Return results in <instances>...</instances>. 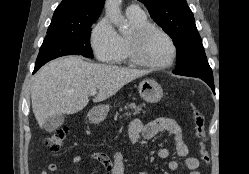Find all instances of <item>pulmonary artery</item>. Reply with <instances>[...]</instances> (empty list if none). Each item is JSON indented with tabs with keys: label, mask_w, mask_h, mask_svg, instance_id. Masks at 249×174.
Returning <instances> with one entry per match:
<instances>
[{
	"label": "pulmonary artery",
	"mask_w": 249,
	"mask_h": 174,
	"mask_svg": "<svg viewBox=\"0 0 249 174\" xmlns=\"http://www.w3.org/2000/svg\"><path fill=\"white\" fill-rule=\"evenodd\" d=\"M126 13L129 15H136V16L144 15L143 10L137 4H131L130 6H128L126 8Z\"/></svg>",
	"instance_id": "e3ab8cb5"
}]
</instances>
